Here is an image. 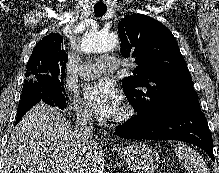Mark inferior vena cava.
I'll return each mask as SVG.
<instances>
[{"label": "inferior vena cava", "instance_id": "inferior-vena-cava-1", "mask_svg": "<svg viewBox=\"0 0 219 173\" xmlns=\"http://www.w3.org/2000/svg\"><path fill=\"white\" fill-rule=\"evenodd\" d=\"M76 126L74 129V137L79 144L83 152H86L92 146H94L93 137V118L92 112L84 107L76 109ZM89 155H86L75 169V173H88L87 163Z\"/></svg>", "mask_w": 219, "mask_h": 173}]
</instances>
